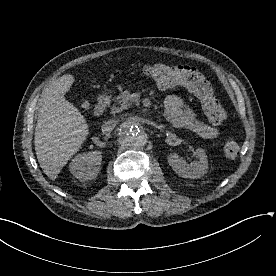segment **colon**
<instances>
[{
    "label": "colon",
    "instance_id": "colon-1",
    "mask_svg": "<svg viewBox=\"0 0 276 276\" xmlns=\"http://www.w3.org/2000/svg\"><path fill=\"white\" fill-rule=\"evenodd\" d=\"M143 73L164 88L183 86L190 90L201 102L203 112L212 124H221L226 119V111L217 99L211 82L197 68L189 65L151 64L142 68ZM239 154V144L233 138L222 143V155L233 159Z\"/></svg>",
    "mask_w": 276,
    "mask_h": 276
}]
</instances>
